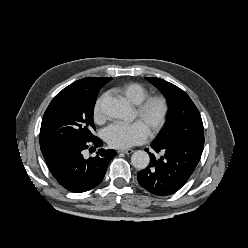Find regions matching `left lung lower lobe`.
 Masks as SVG:
<instances>
[{"instance_id": "0a47b994", "label": "left lung lower lobe", "mask_w": 248, "mask_h": 248, "mask_svg": "<svg viewBox=\"0 0 248 248\" xmlns=\"http://www.w3.org/2000/svg\"><path fill=\"white\" fill-rule=\"evenodd\" d=\"M151 148L162 153V156L155 158L153 153H149L150 164L138 172L137 179L148 192L167 196L187 182L200 160L204 143L191 140L154 141Z\"/></svg>"}]
</instances>
